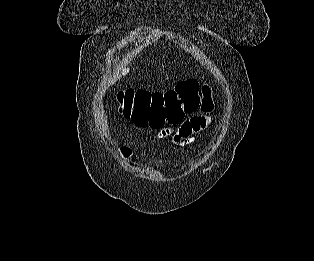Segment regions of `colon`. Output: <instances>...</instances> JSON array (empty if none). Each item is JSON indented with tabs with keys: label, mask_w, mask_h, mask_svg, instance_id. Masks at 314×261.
Listing matches in <instances>:
<instances>
[{
	"label": "colon",
	"mask_w": 314,
	"mask_h": 261,
	"mask_svg": "<svg viewBox=\"0 0 314 261\" xmlns=\"http://www.w3.org/2000/svg\"><path fill=\"white\" fill-rule=\"evenodd\" d=\"M207 92L206 86L188 79L179 83L175 90L164 93L142 89L121 91L118 93V101L121 104L120 112L134 125L165 129L166 124L173 120L182 121L186 115L210 109L211 102ZM122 151L126 155L129 153L127 148Z\"/></svg>",
	"instance_id": "1"
}]
</instances>
